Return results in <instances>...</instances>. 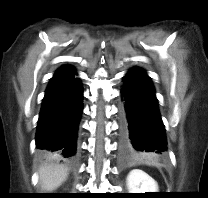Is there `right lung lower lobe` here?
<instances>
[{
    "label": "right lung lower lobe",
    "instance_id": "obj_1",
    "mask_svg": "<svg viewBox=\"0 0 208 198\" xmlns=\"http://www.w3.org/2000/svg\"><path fill=\"white\" fill-rule=\"evenodd\" d=\"M75 69L59 68L51 78L39 115L36 147L42 153L72 159L83 105V90Z\"/></svg>",
    "mask_w": 208,
    "mask_h": 198
}]
</instances>
